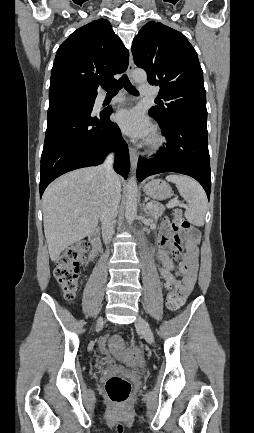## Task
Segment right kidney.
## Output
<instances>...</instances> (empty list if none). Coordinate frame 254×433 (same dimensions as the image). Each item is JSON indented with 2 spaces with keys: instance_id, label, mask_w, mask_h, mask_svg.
Here are the masks:
<instances>
[{
  "instance_id": "1",
  "label": "right kidney",
  "mask_w": 254,
  "mask_h": 433,
  "mask_svg": "<svg viewBox=\"0 0 254 433\" xmlns=\"http://www.w3.org/2000/svg\"><path fill=\"white\" fill-rule=\"evenodd\" d=\"M89 258H92V254L89 255Z\"/></svg>"
}]
</instances>
